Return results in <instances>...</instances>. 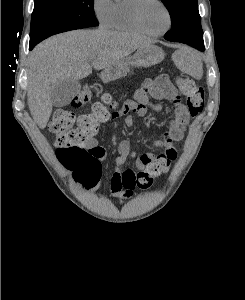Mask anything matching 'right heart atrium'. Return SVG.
<instances>
[{
  "instance_id": "d8ad5b80",
  "label": "right heart atrium",
  "mask_w": 245,
  "mask_h": 300,
  "mask_svg": "<svg viewBox=\"0 0 245 300\" xmlns=\"http://www.w3.org/2000/svg\"><path fill=\"white\" fill-rule=\"evenodd\" d=\"M113 0H92V10L102 26H108L113 11Z\"/></svg>"
}]
</instances>
